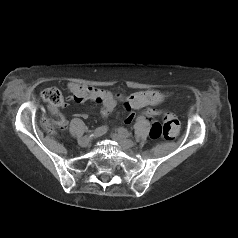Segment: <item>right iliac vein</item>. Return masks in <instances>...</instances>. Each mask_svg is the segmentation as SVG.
<instances>
[{"label": "right iliac vein", "instance_id": "1", "mask_svg": "<svg viewBox=\"0 0 238 238\" xmlns=\"http://www.w3.org/2000/svg\"><path fill=\"white\" fill-rule=\"evenodd\" d=\"M80 146L87 147L91 144V137L85 136L79 141Z\"/></svg>", "mask_w": 238, "mask_h": 238}]
</instances>
